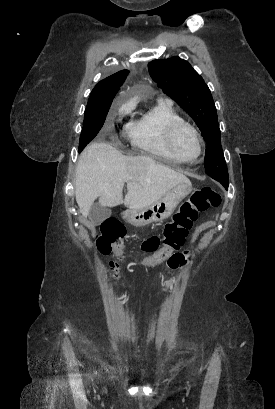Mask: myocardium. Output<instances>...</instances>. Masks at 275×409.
Listing matches in <instances>:
<instances>
[{
    "mask_svg": "<svg viewBox=\"0 0 275 409\" xmlns=\"http://www.w3.org/2000/svg\"><path fill=\"white\" fill-rule=\"evenodd\" d=\"M183 129H188L193 134L195 141H196V145H197V153L194 157H200L201 152H202V142H201L199 132L193 125H191L190 123L186 121L176 122L172 124L168 130L167 146H168L169 152L171 153L172 157H178V155L175 152V141H176L177 135Z\"/></svg>",
    "mask_w": 275,
    "mask_h": 409,
    "instance_id": "obj_1",
    "label": "myocardium"
}]
</instances>
